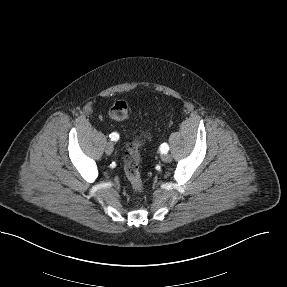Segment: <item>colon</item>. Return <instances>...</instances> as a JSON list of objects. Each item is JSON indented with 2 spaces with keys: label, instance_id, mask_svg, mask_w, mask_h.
<instances>
[{
  "label": "colon",
  "instance_id": "obj_1",
  "mask_svg": "<svg viewBox=\"0 0 287 287\" xmlns=\"http://www.w3.org/2000/svg\"><path fill=\"white\" fill-rule=\"evenodd\" d=\"M109 115L114 120H126L131 115L130 105L124 100H118L111 106ZM143 142L144 138L142 137L129 140L123 157L125 174L136 192H141L144 188L139 169L140 148Z\"/></svg>",
  "mask_w": 287,
  "mask_h": 287
}]
</instances>
